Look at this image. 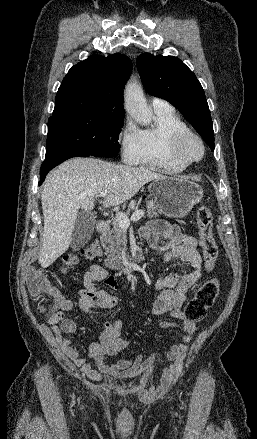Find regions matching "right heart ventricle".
Segmentation results:
<instances>
[{
  "label": "right heart ventricle",
  "instance_id": "obj_1",
  "mask_svg": "<svg viewBox=\"0 0 257 439\" xmlns=\"http://www.w3.org/2000/svg\"><path fill=\"white\" fill-rule=\"evenodd\" d=\"M155 114V124L140 131V150L133 164L156 168L168 174L180 173L186 165L172 156L170 141L188 127L172 109L155 111Z\"/></svg>",
  "mask_w": 257,
  "mask_h": 439
}]
</instances>
